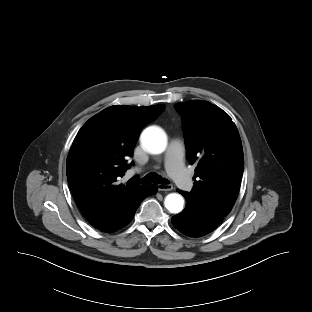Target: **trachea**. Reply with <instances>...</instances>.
Here are the masks:
<instances>
[{"label": "trachea", "mask_w": 312, "mask_h": 312, "mask_svg": "<svg viewBox=\"0 0 312 312\" xmlns=\"http://www.w3.org/2000/svg\"><path fill=\"white\" fill-rule=\"evenodd\" d=\"M141 183L142 184H150V183L168 184L169 181L167 179L162 178L160 175H157L155 173H149L141 180Z\"/></svg>", "instance_id": "trachea-1"}]
</instances>
